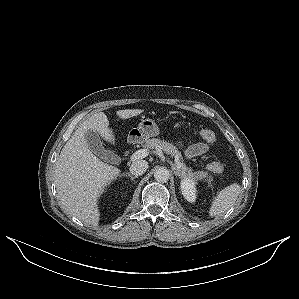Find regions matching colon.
<instances>
[{"instance_id":"5ec220e1","label":"colon","mask_w":299,"mask_h":299,"mask_svg":"<svg viewBox=\"0 0 299 299\" xmlns=\"http://www.w3.org/2000/svg\"><path fill=\"white\" fill-rule=\"evenodd\" d=\"M199 136L208 141V142H215L216 141V135L213 131L208 130V129H201L198 132ZM224 169L223 165L218 163V162H213L209 164V170L213 172H222Z\"/></svg>"}]
</instances>
